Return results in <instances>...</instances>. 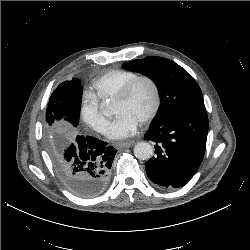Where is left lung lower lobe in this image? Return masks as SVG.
<instances>
[{
    "label": "left lung lower lobe",
    "instance_id": "0a47b994",
    "mask_svg": "<svg viewBox=\"0 0 250 250\" xmlns=\"http://www.w3.org/2000/svg\"><path fill=\"white\" fill-rule=\"evenodd\" d=\"M207 134L205 106L188 108L152 123L145 135L156 144V156L145 165L149 179L168 189L186 185L202 162Z\"/></svg>",
    "mask_w": 250,
    "mask_h": 250
}]
</instances>
